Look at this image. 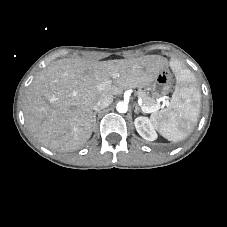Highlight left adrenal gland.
Segmentation results:
<instances>
[{"label": "left adrenal gland", "mask_w": 227, "mask_h": 227, "mask_svg": "<svg viewBox=\"0 0 227 227\" xmlns=\"http://www.w3.org/2000/svg\"><path fill=\"white\" fill-rule=\"evenodd\" d=\"M134 112H135V114H138L139 112H141V113L144 114V112L138 107L137 104H135V110H134Z\"/></svg>", "instance_id": "left-adrenal-gland-1"}]
</instances>
